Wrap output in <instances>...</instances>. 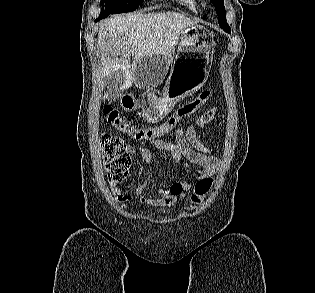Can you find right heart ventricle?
<instances>
[{"label": "right heart ventricle", "instance_id": "1", "mask_svg": "<svg viewBox=\"0 0 315 293\" xmlns=\"http://www.w3.org/2000/svg\"><path fill=\"white\" fill-rule=\"evenodd\" d=\"M176 2L181 5L183 8L191 11L198 12L199 10V2L198 0H176Z\"/></svg>", "mask_w": 315, "mask_h": 293}]
</instances>
